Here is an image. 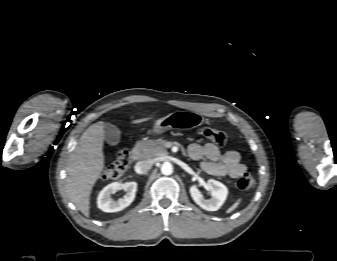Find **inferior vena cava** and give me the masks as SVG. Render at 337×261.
<instances>
[{"mask_svg": "<svg viewBox=\"0 0 337 261\" xmlns=\"http://www.w3.org/2000/svg\"><path fill=\"white\" fill-rule=\"evenodd\" d=\"M154 161L151 159L141 160L136 163L135 165V171L138 174H144L148 172L151 167L153 166Z\"/></svg>", "mask_w": 337, "mask_h": 261, "instance_id": "1", "label": "inferior vena cava"}]
</instances>
